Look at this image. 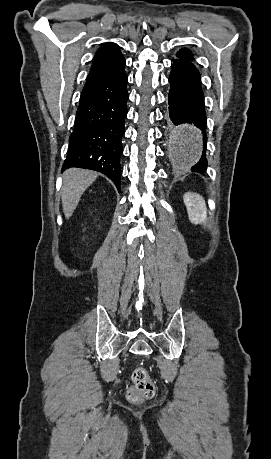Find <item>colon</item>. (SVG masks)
<instances>
[{
    "label": "colon",
    "mask_w": 271,
    "mask_h": 459,
    "mask_svg": "<svg viewBox=\"0 0 271 459\" xmlns=\"http://www.w3.org/2000/svg\"><path fill=\"white\" fill-rule=\"evenodd\" d=\"M131 377L133 385L127 391L128 400L131 402H140L154 396L155 387L145 367L141 365L136 366Z\"/></svg>",
    "instance_id": "5ec220e1"
}]
</instances>
